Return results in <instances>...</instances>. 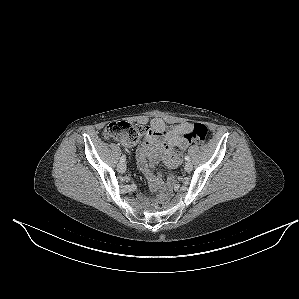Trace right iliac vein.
<instances>
[{
	"mask_svg": "<svg viewBox=\"0 0 299 299\" xmlns=\"http://www.w3.org/2000/svg\"><path fill=\"white\" fill-rule=\"evenodd\" d=\"M117 170L119 173H125L126 171V165L124 162H120L118 165H117Z\"/></svg>",
	"mask_w": 299,
	"mask_h": 299,
	"instance_id": "right-iliac-vein-1",
	"label": "right iliac vein"
}]
</instances>
